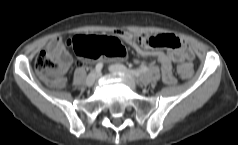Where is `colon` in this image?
<instances>
[{"mask_svg": "<svg viewBox=\"0 0 238 145\" xmlns=\"http://www.w3.org/2000/svg\"><path fill=\"white\" fill-rule=\"evenodd\" d=\"M69 46L79 57L87 61L97 60L102 57L123 59L126 56V49L120 40L111 36L77 35L69 41ZM34 67L46 81L55 85L63 83V65L49 49L41 51L36 56ZM177 71L183 78H188L192 75L190 64L179 65Z\"/></svg>", "mask_w": 238, "mask_h": 145, "instance_id": "1", "label": "colon"}]
</instances>
